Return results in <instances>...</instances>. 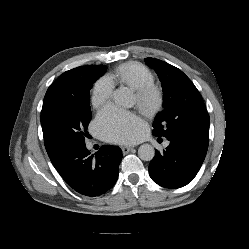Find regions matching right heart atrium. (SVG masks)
<instances>
[{
  "mask_svg": "<svg viewBox=\"0 0 249 249\" xmlns=\"http://www.w3.org/2000/svg\"><path fill=\"white\" fill-rule=\"evenodd\" d=\"M114 87V82L108 76L98 79L92 90V104L97 108L107 104L112 97Z\"/></svg>",
  "mask_w": 249,
  "mask_h": 249,
  "instance_id": "d8ad5b80",
  "label": "right heart atrium"
}]
</instances>
